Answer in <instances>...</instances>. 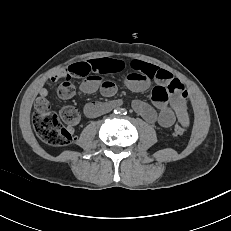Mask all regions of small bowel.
Wrapping results in <instances>:
<instances>
[{
    "label": "small bowel",
    "mask_w": 231,
    "mask_h": 231,
    "mask_svg": "<svg viewBox=\"0 0 231 231\" xmlns=\"http://www.w3.org/2000/svg\"><path fill=\"white\" fill-rule=\"evenodd\" d=\"M70 67L76 69L84 77L80 86L82 92L91 94L100 90L104 96H112L117 87L111 81L102 79L105 74L119 73L126 68V64L118 59L99 58L75 63L68 68L61 69L50 77L45 86L38 91L35 108L47 103L48 88L59 79L69 76ZM130 71L124 79L128 89L134 92L147 90L151 83L154 86L151 91L152 104L135 100L133 109L146 121L157 123L164 128L171 127L176 120L189 125L187 110L188 94L184 85L167 70L153 64L134 60L129 64ZM114 103L90 102L84 106V114L87 117L97 116L112 106Z\"/></svg>",
    "instance_id": "1"
}]
</instances>
